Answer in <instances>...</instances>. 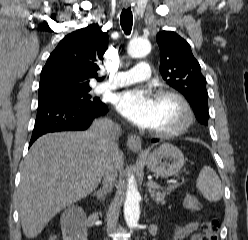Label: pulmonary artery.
Masks as SVG:
<instances>
[{
	"label": "pulmonary artery",
	"mask_w": 248,
	"mask_h": 240,
	"mask_svg": "<svg viewBox=\"0 0 248 240\" xmlns=\"http://www.w3.org/2000/svg\"><path fill=\"white\" fill-rule=\"evenodd\" d=\"M150 77V66L146 61L138 62L134 68L128 71H119L115 73L109 81L99 84L95 92L104 91L126 86L136 82L145 81Z\"/></svg>",
	"instance_id": "e3ab8cb5"
}]
</instances>
